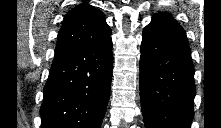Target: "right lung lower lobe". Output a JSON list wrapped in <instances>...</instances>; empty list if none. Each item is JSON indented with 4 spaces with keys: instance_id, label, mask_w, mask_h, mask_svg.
I'll list each match as a JSON object with an SVG mask.
<instances>
[{
    "instance_id": "right-lung-lower-lobe-1",
    "label": "right lung lower lobe",
    "mask_w": 221,
    "mask_h": 128,
    "mask_svg": "<svg viewBox=\"0 0 221 128\" xmlns=\"http://www.w3.org/2000/svg\"><path fill=\"white\" fill-rule=\"evenodd\" d=\"M112 39L56 51L44 87L41 128H100L112 78Z\"/></svg>"
}]
</instances>
